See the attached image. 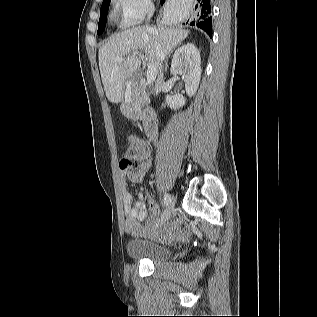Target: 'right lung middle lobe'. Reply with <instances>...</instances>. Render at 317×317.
Listing matches in <instances>:
<instances>
[{
  "instance_id": "right-lung-middle-lobe-1",
  "label": "right lung middle lobe",
  "mask_w": 317,
  "mask_h": 317,
  "mask_svg": "<svg viewBox=\"0 0 317 317\" xmlns=\"http://www.w3.org/2000/svg\"><path fill=\"white\" fill-rule=\"evenodd\" d=\"M111 0H104L100 10V19L98 24V34H101L105 28V23L107 21V13Z\"/></svg>"
}]
</instances>
